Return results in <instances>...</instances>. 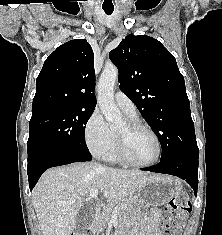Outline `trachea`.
Returning a JSON list of instances; mask_svg holds the SVG:
<instances>
[{
    "label": "trachea",
    "instance_id": "3493384b",
    "mask_svg": "<svg viewBox=\"0 0 222 235\" xmlns=\"http://www.w3.org/2000/svg\"><path fill=\"white\" fill-rule=\"evenodd\" d=\"M103 10L107 15H111L114 11V7H103Z\"/></svg>",
    "mask_w": 222,
    "mask_h": 235
}]
</instances>
